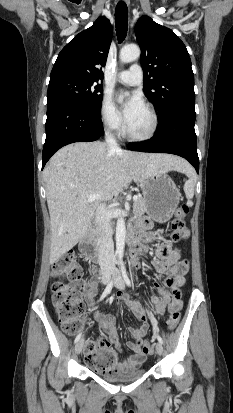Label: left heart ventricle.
<instances>
[{
	"label": "left heart ventricle",
	"mask_w": 233,
	"mask_h": 413,
	"mask_svg": "<svg viewBox=\"0 0 233 413\" xmlns=\"http://www.w3.org/2000/svg\"><path fill=\"white\" fill-rule=\"evenodd\" d=\"M127 126L129 131L135 135H143L148 132L151 126V120L145 107H143Z\"/></svg>",
	"instance_id": "left-heart-ventricle-1"
}]
</instances>
